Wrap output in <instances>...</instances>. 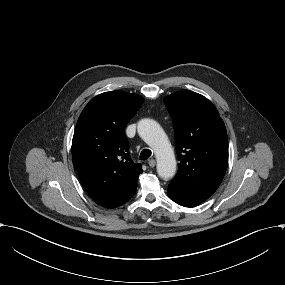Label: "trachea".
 <instances>
[{
	"mask_svg": "<svg viewBox=\"0 0 285 285\" xmlns=\"http://www.w3.org/2000/svg\"><path fill=\"white\" fill-rule=\"evenodd\" d=\"M152 152L149 149H144L141 151L139 159L147 160L151 156Z\"/></svg>",
	"mask_w": 285,
	"mask_h": 285,
	"instance_id": "3493384b",
	"label": "trachea"
}]
</instances>
